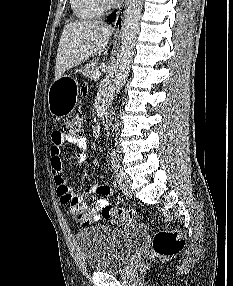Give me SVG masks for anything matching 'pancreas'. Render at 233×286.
Instances as JSON below:
<instances>
[{"instance_id": "cf45deb5", "label": "pancreas", "mask_w": 233, "mask_h": 286, "mask_svg": "<svg viewBox=\"0 0 233 286\" xmlns=\"http://www.w3.org/2000/svg\"><path fill=\"white\" fill-rule=\"evenodd\" d=\"M99 72L97 67V61L94 60L88 64H86L84 67L80 69V73H82L84 76H86L89 79H94L93 75L95 73Z\"/></svg>"}]
</instances>
